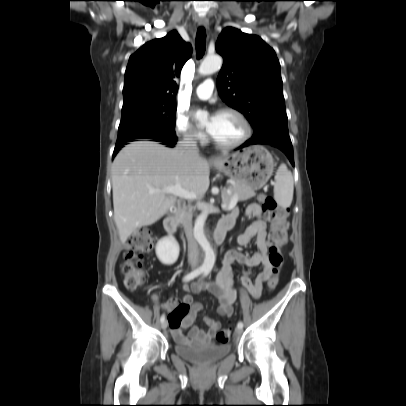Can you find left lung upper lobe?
<instances>
[{"mask_svg":"<svg viewBox=\"0 0 406 406\" xmlns=\"http://www.w3.org/2000/svg\"><path fill=\"white\" fill-rule=\"evenodd\" d=\"M224 64L217 78L222 100L243 113L253 136L288 137L280 64L275 51L260 37L227 27L216 42Z\"/></svg>","mask_w":406,"mask_h":406,"instance_id":"1","label":"left lung upper lobe"}]
</instances>
